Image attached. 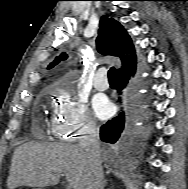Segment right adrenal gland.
<instances>
[{"label":"right adrenal gland","instance_id":"1","mask_svg":"<svg viewBox=\"0 0 188 189\" xmlns=\"http://www.w3.org/2000/svg\"><path fill=\"white\" fill-rule=\"evenodd\" d=\"M104 185H105V181L103 182V187H102V189H104Z\"/></svg>","mask_w":188,"mask_h":189}]
</instances>
